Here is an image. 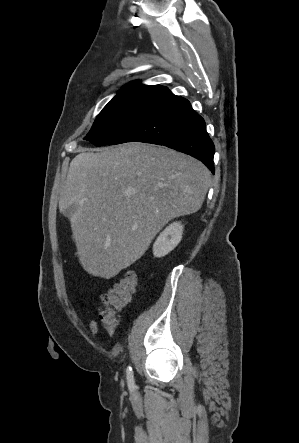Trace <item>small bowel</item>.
Instances as JSON below:
<instances>
[{
  "instance_id": "c3829d8e",
  "label": "small bowel",
  "mask_w": 299,
  "mask_h": 443,
  "mask_svg": "<svg viewBox=\"0 0 299 443\" xmlns=\"http://www.w3.org/2000/svg\"><path fill=\"white\" fill-rule=\"evenodd\" d=\"M89 328L90 331L92 332L93 335H97L99 332V328H98V324L95 320H91L89 323Z\"/></svg>"
}]
</instances>
